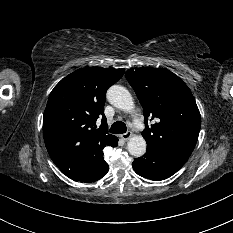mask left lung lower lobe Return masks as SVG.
<instances>
[{
    "label": "left lung lower lobe",
    "mask_w": 233,
    "mask_h": 233,
    "mask_svg": "<svg viewBox=\"0 0 233 233\" xmlns=\"http://www.w3.org/2000/svg\"><path fill=\"white\" fill-rule=\"evenodd\" d=\"M188 158L183 153L147 146L146 154L135 159L132 166L138 175L160 181L175 174Z\"/></svg>",
    "instance_id": "0a47b994"
}]
</instances>
